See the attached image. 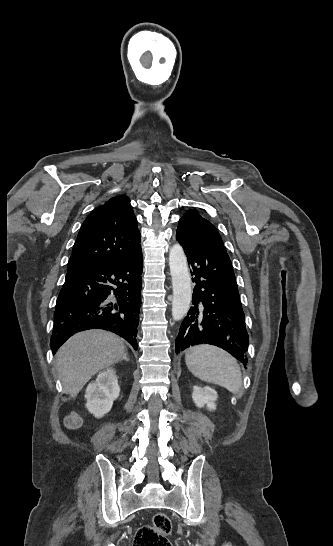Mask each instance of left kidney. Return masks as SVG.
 <instances>
[{
    "mask_svg": "<svg viewBox=\"0 0 333 546\" xmlns=\"http://www.w3.org/2000/svg\"><path fill=\"white\" fill-rule=\"evenodd\" d=\"M192 398L195 405L198 408L206 406L209 410H215V400L217 399V392L211 387H193Z\"/></svg>",
    "mask_w": 333,
    "mask_h": 546,
    "instance_id": "left-kidney-1",
    "label": "left kidney"
}]
</instances>
